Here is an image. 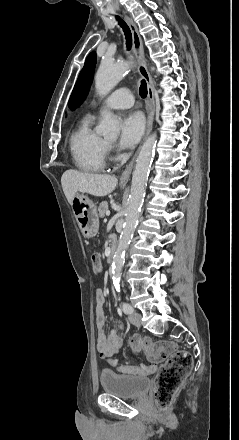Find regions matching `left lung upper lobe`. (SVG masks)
Listing matches in <instances>:
<instances>
[{
  "instance_id": "obj_1",
  "label": "left lung upper lobe",
  "mask_w": 239,
  "mask_h": 440,
  "mask_svg": "<svg viewBox=\"0 0 239 440\" xmlns=\"http://www.w3.org/2000/svg\"><path fill=\"white\" fill-rule=\"evenodd\" d=\"M96 64V53L91 52L86 58L84 67L79 74L77 82L72 91L71 97L68 102V106L71 110L79 106L85 99L89 87L92 82V77Z\"/></svg>"
}]
</instances>
